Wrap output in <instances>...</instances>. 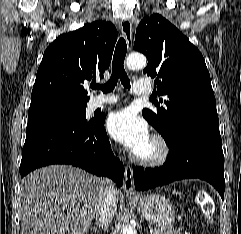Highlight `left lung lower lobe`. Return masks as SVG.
<instances>
[{"mask_svg": "<svg viewBox=\"0 0 241 234\" xmlns=\"http://www.w3.org/2000/svg\"><path fill=\"white\" fill-rule=\"evenodd\" d=\"M168 147L169 155L162 167L134 169L137 190H148L180 179L199 178L212 184L224 198V155L218 130L186 128Z\"/></svg>", "mask_w": 241, "mask_h": 234, "instance_id": "1", "label": "left lung lower lobe"}]
</instances>
